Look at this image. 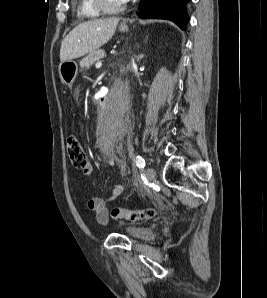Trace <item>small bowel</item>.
<instances>
[{
    "instance_id": "small-bowel-1",
    "label": "small bowel",
    "mask_w": 267,
    "mask_h": 298,
    "mask_svg": "<svg viewBox=\"0 0 267 298\" xmlns=\"http://www.w3.org/2000/svg\"><path fill=\"white\" fill-rule=\"evenodd\" d=\"M94 166L91 163H88L84 169L86 175H90L94 172ZM120 170L123 172L124 167L120 166ZM124 187L121 184H116L113 187L112 192L105 198L102 197H93L88 200L87 208L89 211L94 213L96 221L99 224L106 225L109 221V210L107 204L114 202L122 193Z\"/></svg>"
}]
</instances>
